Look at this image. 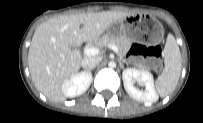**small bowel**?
I'll list each match as a JSON object with an SVG mask.
<instances>
[{
    "mask_svg": "<svg viewBox=\"0 0 203 123\" xmlns=\"http://www.w3.org/2000/svg\"><path fill=\"white\" fill-rule=\"evenodd\" d=\"M134 54L138 55V54H140V51L135 50V51H134Z\"/></svg>",
    "mask_w": 203,
    "mask_h": 123,
    "instance_id": "small-bowel-1",
    "label": "small bowel"
}]
</instances>
